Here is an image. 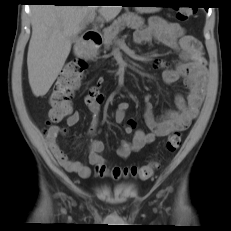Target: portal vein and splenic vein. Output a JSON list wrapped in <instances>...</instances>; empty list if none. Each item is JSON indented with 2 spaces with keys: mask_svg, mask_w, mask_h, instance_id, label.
I'll use <instances>...</instances> for the list:
<instances>
[{
  "mask_svg": "<svg viewBox=\"0 0 231 231\" xmlns=\"http://www.w3.org/2000/svg\"><path fill=\"white\" fill-rule=\"evenodd\" d=\"M94 20V15L91 14L86 18V22H92Z\"/></svg>",
  "mask_w": 231,
  "mask_h": 231,
  "instance_id": "1",
  "label": "portal vein and splenic vein"
}]
</instances>
